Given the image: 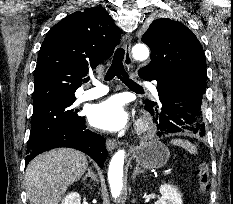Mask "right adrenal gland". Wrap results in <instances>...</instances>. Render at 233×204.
Instances as JSON below:
<instances>
[{"label":"right adrenal gland","mask_w":233,"mask_h":204,"mask_svg":"<svg viewBox=\"0 0 233 204\" xmlns=\"http://www.w3.org/2000/svg\"><path fill=\"white\" fill-rule=\"evenodd\" d=\"M88 177H91L94 181H97V177L94 175L91 168L88 169V173L84 176L83 181H85Z\"/></svg>","instance_id":"2a0ac1e0"}]
</instances>
